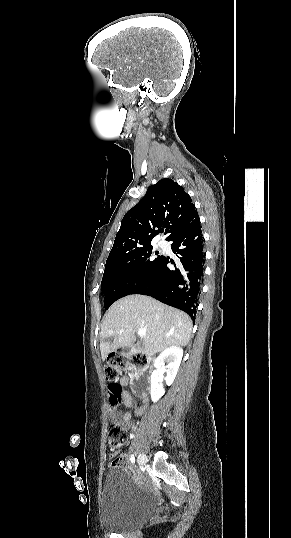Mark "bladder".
Segmentation results:
<instances>
[{"label": "bladder", "mask_w": 291, "mask_h": 538, "mask_svg": "<svg viewBox=\"0 0 291 538\" xmlns=\"http://www.w3.org/2000/svg\"><path fill=\"white\" fill-rule=\"evenodd\" d=\"M155 508L154 500L125 468H111L104 474L100 513L106 529L130 531L145 523Z\"/></svg>", "instance_id": "1"}]
</instances>
